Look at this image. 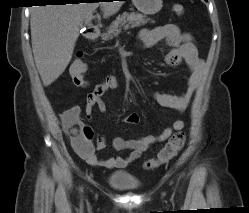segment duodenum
Returning a JSON list of instances; mask_svg holds the SVG:
<instances>
[{
  "mask_svg": "<svg viewBox=\"0 0 249 213\" xmlns=\"http://www.w3.org/2000/svg\"><path fill=\"white\" fill-rule=\"evenodd\" d=\"M98 35H99V30L95 26L88 28L85 33V37L89 42H94L97 39Z\"/></svg>",
  "mask_w": 249,
  "mask_h": 213,
  "instance_id": "1",
  "label": "duodenum"
}]
</instances>
